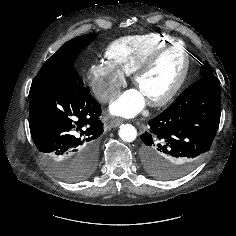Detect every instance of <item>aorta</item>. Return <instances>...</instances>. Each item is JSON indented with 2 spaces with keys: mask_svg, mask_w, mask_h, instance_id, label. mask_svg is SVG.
I'll return each mask as SVG.
<instances>
[{
  "mask_svg": "<svg viewBox=\"0 0 236 236\" xmlns=\"http://www.w3.org/2000/svg\"><path fill=\"white\" fill-rule=\"evenodd\" d=\"M119 137L124 142H133L137 137V130L131 124H123L119 129Z\"/></svg>",
  "mask_w": 236,
  "mask_h": 236,
  "instance_id": "762f6f07",
  "label": "aorta"
}]
</instances>
